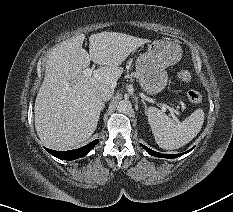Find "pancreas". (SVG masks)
Instances as JSON below:
<instances>
[{"label":"pancreas","instance_id":"1","mask_svg":"<svg viewBox=\"0 0 233 212\" xmlns=\"http://www.w3.org/2000/svg\"><path fill=\"white\" fill-rule=\"evenodd\" d=\"M135 77H137V74L135 73V74H133Z\"/></svg>","mask_w":233,"mask_h":212}]
</instances>
